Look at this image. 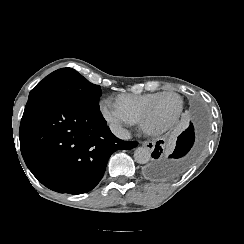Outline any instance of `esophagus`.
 I'll return each instance as SVG.
<instances>
[{"instance_id":"obj_1","label":"esophagus","mask_w":244,"mask_h":244,"mask_svg":"<svg viewBox=\"0 0 244 244\" xmlns=\"http://www.w3.org/2000/svg\"><path fill=\"white\" fill-rule=\"evenodd\" d=\"M142 145L146 147L149 151H153L155 148V142L154 141H144L142 142Z\"/></svg>"}]
</instances>
